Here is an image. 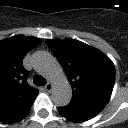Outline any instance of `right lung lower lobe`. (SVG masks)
Segmentation results:
<instances>
[{"instance_id": "98d812e1", "label": "right lung lower lobe", "mask_w": 128, "mask_h": 128, "mask_svg": "<svg viewBox=\"0 0 128 128\" xmlns=\"http://www.w3.org/2000/svg\"><path fill=\"white\" fill-rule=\"evenodd\" d=\"M34 99H30L23 105H21L18 109H16L14 112L0 118L1 122L7 123V124H12L14 122H18L25 118L28 113L30 112L31 106L34 102Z\"/></svg>"}]
</instances>
